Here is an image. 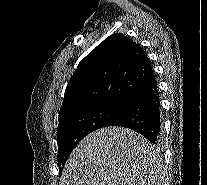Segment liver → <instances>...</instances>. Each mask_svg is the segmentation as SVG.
I'll use <instances>...</instances> for the list:
<instances>
[{"label":"liver","mask_w":207,"mask_h":185,"mask_svg":"<svg viewBox=\"0 0 207 185\" xmlns=\"http://www.w3.org/2000/svg\"><path fill=\"white\" fill-rule=\"evenodd\" d=\"M155 157L151 143L139 133L124 127H103L73 149L61 185H149Z\"/></svg>","instance_id":"obj_1"}]
</instances>
